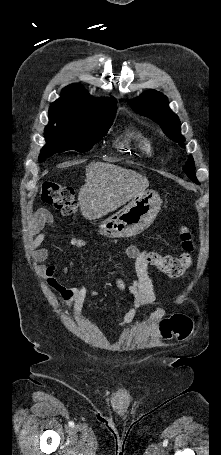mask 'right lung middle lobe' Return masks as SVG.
I'll use <instances>...</instances> for the list:
<instances>
[{
    "mask_svg": "<svg viewBox=\"0 0 221 455\" xmlns=\"http://www.w3.org/2000/svg\"><path fill=\"white\" fill-rule=\"evenodd\" d=\"M116 114V109L107 110L86 120H69L49 116L45 128L46 145L42 148L39 161L55 153L67 150L86 152L107 134Z\"/></svg>",
    "mask_w": 221,
    "mask_h": 455,
    "instance_id": "1",
    "label": "right lung middle lobe"
}]
</instances>
